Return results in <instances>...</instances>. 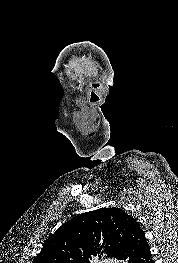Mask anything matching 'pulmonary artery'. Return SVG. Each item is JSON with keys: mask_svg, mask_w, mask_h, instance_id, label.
<instances>
[{"mask_svg": "<svg viewBox=\"0 0 178 263\" xmlns=\"http://www.w3.org/2000/svg\"><path fill=\"white\" fill-rule=\"evenodd\" d=\"M104 263H111L110 260H104Z\"/></svg>", "mask_w": 178, "mask_h": 263, "instance_id": "1", "label": "pulmonary artery"}]
</instances>
